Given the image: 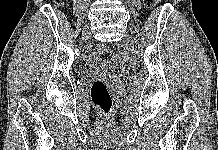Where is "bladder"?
Returning <instances> with one entry per match:
<instances>
[{
  "mask_svg": "<svg viewBox=\"0 0 218 150\" xmlns=\"http://www.w3.org/2000/svg\"><path fill=\"white\" fill-rule=\"evenodd\" d=\"M111 71H113L112 65L103 61H94L89 67V72H100L106 74Z\"/></svg>",
  "mask_w": 218,
  "mask_h": 150,
  "instance_id": "31cf9c89",
  "label": "bladder"
}]
</instances>
